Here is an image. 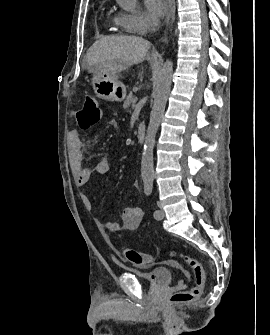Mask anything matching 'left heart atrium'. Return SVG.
I'll list each match as a JSON object with an SVG mask.
<instances>
[{"label": "left heart atrium", "mask_w": 270, "mask_h": 335, "mask_svg": "<svg viewBox=\"0 0 270 335\" xmlns=\"http://www.w3.org/2000/svg\"><path fill=\"white\" fill-rule=\"evenodd\" d=\"M146 7L155 19L164 16L167 12V4L162 0H146Z\"/></svg>", "instance_id": "obj_1"}]
</instances>
